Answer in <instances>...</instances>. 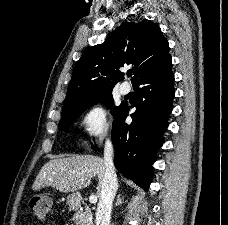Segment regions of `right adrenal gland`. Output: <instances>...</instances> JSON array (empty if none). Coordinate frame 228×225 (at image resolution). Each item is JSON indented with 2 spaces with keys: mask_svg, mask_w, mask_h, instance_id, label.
I'll return each mask as SVG.
<instances>
[{
  "mask_svg": "<svg viewBox=\"0 0 228 225\" xmlns=\"http://www.w3.org/2000/svg\"><path fill=\"white\" fill-rule=\"evenodd\" d=\"M118 205H122L121 195H118V197L116 199V205H115V207H118Z\"/></svg>",
  "mask_w": 228,
  "mask_h": 225,
  "instance_id": "1",
  "label": "right adrenal gland"
}]
</instances>
